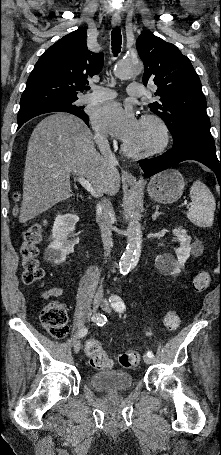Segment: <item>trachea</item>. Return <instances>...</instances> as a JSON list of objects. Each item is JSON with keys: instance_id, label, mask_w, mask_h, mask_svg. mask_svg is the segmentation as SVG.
<instances>
[{"instance_id": "trachea-1", "label": "trachea", "mask_w": 221, "mask_h": 455, "mask_svg": "<svg viewBox=\"0 0 221 455\" xmlns=\"http://www.w3.org/2000/svg\"><path fill=\"white\" fill-rule=\"evenodd\" d=\"M111 39H112V51L114 55L116 56L121 49V44H122V35H121V30L120 28L116 27L112 30L111 32ZM86 89H89V86L85 87Z\"/></svg>"}]
</instances>
